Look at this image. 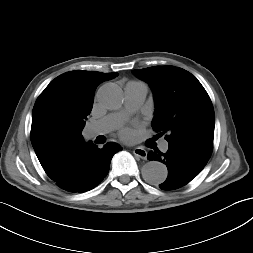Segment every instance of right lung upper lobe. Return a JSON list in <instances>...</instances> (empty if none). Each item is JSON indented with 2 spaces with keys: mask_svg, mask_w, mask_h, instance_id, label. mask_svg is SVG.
I'll return each instance as SVG.
<instances>
[{
  "mask_svg": "<svg viewBox=\"0 0 253 253\" xmlns=\"http://www.w3.org/2000/svg\"><path fill=\"white\" fill-rule=\"evenodd\" d=\"M117 75L67 72L52 80L37 98L32 112L31 143L53 181L63 178L72 152L86 144L81 133L97 86Z\"/></svg>",
  "mask_w": 253,
  "mask_h": 253,
  "instance_id": "obj_1",
  "label": "right lung upper lobe"
}]
</instances>
